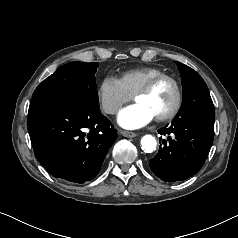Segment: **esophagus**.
Listing matches in <instances>:
<instances>
[{
    "instance_id": "obj_1",
    "label": "esophagus",
    "mask_w": 238,
    "mask_h": 238,
    "mask_svg": "<svg viewBox=\"0 0 238 238\" xmlns=\"http://www.w3.org/2000/svg\"><path fill=\"white\" fill-rule=\"evenodd\" d=\"M120 133L124 136V137H135L137 134L134 132H130V131H125V130H120Z\"/></svg>"
}]
</instances>
